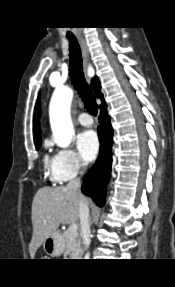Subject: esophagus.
<instances>
[{
    "instance_id": "obj_1",
    "label": "esophagus",
    "mask_w": 175,
    "mask_h": 287,
    "mask_svg": "<svg viewBox=\"0 0 175 287\" xmlns=\"http://www.w3.org/2000/svg\"><path fill=\"white\" fill-rule=\"evenodd\" d=\"M79 41V45L81 48V52H82V59H83V69H84V73H85V77L87 79V81H90L91 76L94 74H90L88 72V64H89V51H88V47L87 44L85 42V40L81 37L78 38Z\"/></svg>"
}]
</instances>
